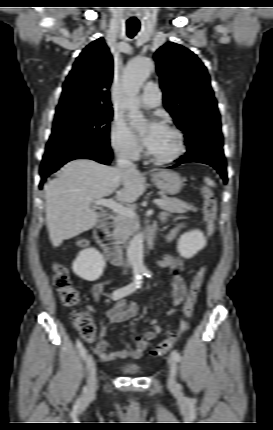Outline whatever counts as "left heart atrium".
I'll use <instances>...</instances> for the list:
<instances>
[{"label":"left heart atrium","mask_w":273,"mask_h":430,"mask_svg":"<svg viewBox=\"0 0 273 430\" xmlns=\"http://www.w3.org/2000/svg\"><path fill=\"white\" fill-rule=\"evenodd\" d=\"M163 129L164 127L156 121L151 122L147 126V129L142 136V142L149 150L155 146Z\"/></svg>","instance_id":"left-heart-atrium-1"}]
</instances>
